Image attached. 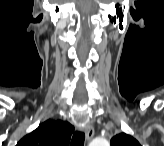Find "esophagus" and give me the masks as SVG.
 Returning a JSON list of instances; mask_svg holds the SVG:
<instances>
[{
  "label": "esophagus",
  "instance_id": "34e87169",
  "mask_svg": "<svg viewBox=\"0 0 164 146\" xmlns=\"http://www.w3.org/2000/svg\"><path fill=\"white\" fill-rule=\"evenodd\" d=\"M82 130L85 132V135H86V139L89 141L93 138L94 136V128L92 125L90 124H86Z\"/></svg>",
  "mask_w": 164,
  "mask_h": 146
}]
</instances>
